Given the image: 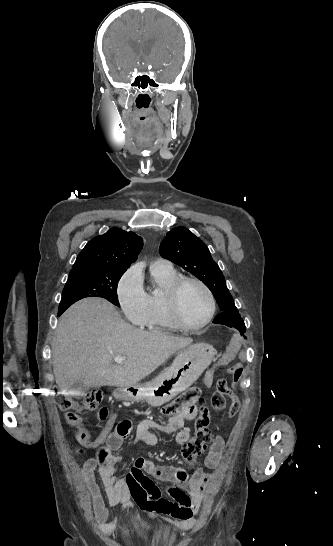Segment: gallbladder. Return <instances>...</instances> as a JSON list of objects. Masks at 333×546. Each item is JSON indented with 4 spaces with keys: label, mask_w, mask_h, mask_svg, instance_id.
<instances>
[{
    "label": "gallbladder",
    "mask_w": 333,
    "mask_h": 546,
    "mask_svg": "<svg viewBox=\"0 0 333 546\" xmlns=\"http://www.w3.org/2000/svg\"><path fill=\"white\" fill-rule=\"evenodd\" d=\"M73 387L81 393H85L89 389V387L81 381H77Z\"/></svg>",
    "instance_id": "gallbladder-1"
}]
</instances>
